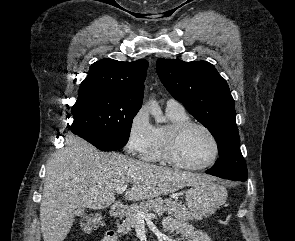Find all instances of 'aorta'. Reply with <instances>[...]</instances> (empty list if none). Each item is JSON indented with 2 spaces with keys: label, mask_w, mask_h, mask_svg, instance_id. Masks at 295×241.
<instances>
[{
  "label": "aorta",
  "mask_w": 295,
  "mask_h": 241,
  "mask_svg": "<svg viewBox=\"0 0 295 241\" xmlns=\"http://www.w3.org/2000/svg\"><path fill=\"white\" fill-rule=\"evenodd\" d=\"M150 113L157 123L166 122V117L163 115L162 110L156 101H149Z\"/></svg>",
  "instance_id": "obj_1"
}]
</instances>
